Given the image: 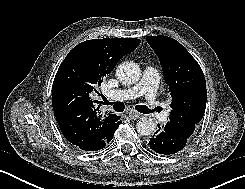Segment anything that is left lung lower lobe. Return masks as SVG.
Here are the masks:
<instances>
[{
	"mask_svg": "<svg viewBox=\"0 0 245 189\" xmlns=\"http://www.w3.org/2000/svg\"><path fill=\"white\" fill-rule=\"evenodd\" d=\"M153 137L148 142L149 147L156 153L171 155L182 150L188 139L175 138L166 127H158Z\"/></svg>",
	"mask_w": 245,
	"mask_h": 189,
	"instance_id": "obj_1",
	"label": "left lung lower lobe"
}]
</instances>
